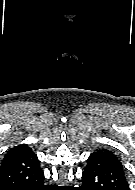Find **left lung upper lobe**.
<instances>
[{
  "label": "left lung upper lobe",
  "instance_id": "5c2ea615",
  "mask_svg": "<svg viewBox=\"0 0 135 190\" xmlns=\"http://www.w3.org/2000/svg\"><path fill=\"white\" fill-rule=\"evenodd\" d=\"M96 152H97V153H100V154H102V155H105V156H107L108 158L114 160L115 162L121 164V162L119 161V159H118L112 152H110L109 150H105V149H104V150H97ZM121 165H122V164H121Z\"/></svg>",
  "mask_w": 135,
  "mask_h": 190
}]
</instances>
